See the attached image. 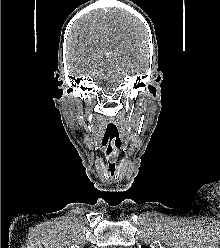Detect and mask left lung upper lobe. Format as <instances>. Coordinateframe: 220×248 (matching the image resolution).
Masks as SVG:
<instances>
[{
	"label": "left lung upper lobe",
	"instance_id": "obj_1",
	"mask_svg": "<svg viewBox=\"0 0 220 248\" xmlns=\"http://www.w3.org/2000/svg\"><path fill=\"white\" fill-rule=\"evenodd\" d=\"M143 248H150L149 246H147V247H143Z\"/></svg>",
	"mask_w": 220,
	"mask_h": 248
}]
</instances>
